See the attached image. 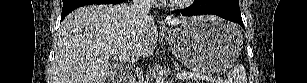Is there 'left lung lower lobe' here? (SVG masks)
Instances as JSON below:
<instances>
[{"label":"left lung lower lobe","instance_id":"1","mask_svg":"<svg viewBox=\"0 0 307 83\" xmlns=\"http://www.w3.org/2000/svg\"><path fill=\"white\" fill-rule=\"evenodd\" d=\"M174 12L183 16L213 14L237 22L244 28L239 3L233 0H195L191 6Z\"/></svg>","mask_w":307,"mask_h":83}]
</instances>
